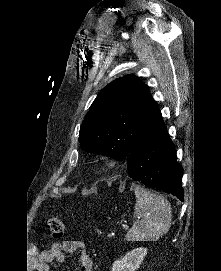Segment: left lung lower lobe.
I'll return each instance as SVG.
<instances>
[{
	"instance_id": "0a47b994",
	"label": "left lung lower lobe",
	"mask_w": 221,
	"mask_h": 271,
	"mask_svg": "<svg viewBox=\"0 0 221 271\" xmlns=\"http://www.w3.org/2000/svg\"><path fill=\"white\" fill-rule=\"evenodd\" d=\"M128 173L147 187L184 200L183 168L177 162L175 145L164 122L145 135L129 152Z\"/></svg>"
}]
</instances>
